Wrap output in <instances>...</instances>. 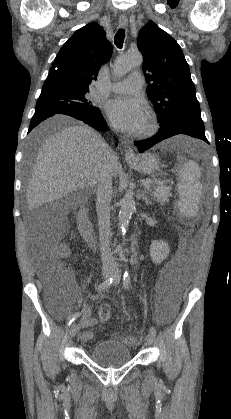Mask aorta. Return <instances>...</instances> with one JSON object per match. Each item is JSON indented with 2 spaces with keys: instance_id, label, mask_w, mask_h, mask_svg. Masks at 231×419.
<instances>
[{
  "instance_id": "762f6f07",
  "label": "aorta",
  "mask_w": 231,
  "mask_h": 419,
  "mask_svg": "<svg viewBox=\"0 0 231 419\" xmlns=\"http://www.w3.org/2000/svg\"><path fill=\"white\" fill-rule=\"evenodd\" d=\"M143 62V57L139 52L129 53L120 56L114 63V73L118 76L127 74L131 69L140 66ZM135 207L133 193L128 192L125 194L119 212V227L122 232H126L132 213Z\"/></svg>"
}]
</instances>
